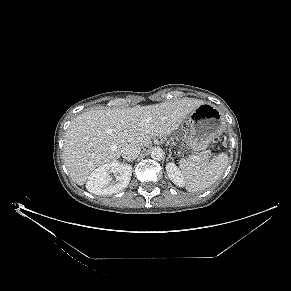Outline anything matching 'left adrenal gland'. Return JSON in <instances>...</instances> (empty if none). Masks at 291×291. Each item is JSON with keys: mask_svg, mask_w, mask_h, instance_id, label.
Masks as SVG:
<instances>
[{"mask_svg": "<svg viewBox=\"0 0 291 291\" xmlns=\"http://www.w3.org/2000/svg\"><path fill=\"white\" fill-rule=\"evenodd\" d=\"M169 159H172V152H171V150H169V155H168L167 160H169Z\"/></svg>", "mask_w": 291, "mask_h": 291, "instance_id": "a2214340", "label": "left adrenal gland"}]
</instances>
